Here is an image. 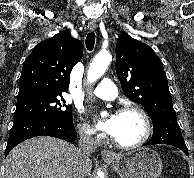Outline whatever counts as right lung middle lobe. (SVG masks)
<instances>
[{
    "label": "right lung middle lobe",
    "mask_w": 194,
    "mask_h": 178,
    "mask_svg": "<svg viewBox=\"0 0 194 178\" xmlns=\"http://www.w3.org/2000/svg\"><path fill=\"white\" fill-rule=\"evenodd\" d=\"M61 95L36 97L17 101L14 118L27 115H40L54 120L72 119L71 106L65 104Z\"/></svg>",
    "instance_id": "dd1d6c3e"
}]
</instances>
